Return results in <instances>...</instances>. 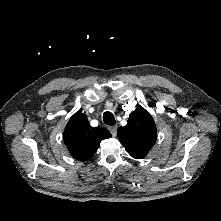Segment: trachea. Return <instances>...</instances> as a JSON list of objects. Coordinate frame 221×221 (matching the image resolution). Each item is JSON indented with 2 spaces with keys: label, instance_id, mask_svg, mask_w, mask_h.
Masks as SVG:
<instances>
[{
  "label": "trachea",
  "instance_id": "3493384b",
  "mask_svg": "<svg viewBox=\"0 0 221 221\" xmlns=\"http://www.w3.org/2000/svg\"><path fill=\"white\" fill-rule=\"evenodd\" d=\"M103 121L106 125L113 126L115 125V117L110 111H106L103 114Z\"/></svg>",
  "mask_w": 221,
  "mask_h": 221
}]
</instances>
